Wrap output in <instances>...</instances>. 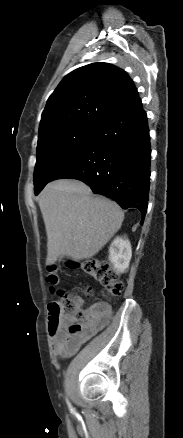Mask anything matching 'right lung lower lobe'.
<instances>
[{"label": "right lung lower lobe", "instance_id": "right-lung-lower-lobe-1", "mask_svg": "<svg viewBox=\"0 0 183 438\" xmlns=\"http://www.w3.org/2000/svg\"><path fill=\"white\" fill-rule=\"evenodd\" d=\"M150 155L147 116L139 103L100 123L86 146L52 180L78 179L123 209H139L144 218Z\"/></svg>", "mask_w": 183, "mask_h": 438}]
</instances>
